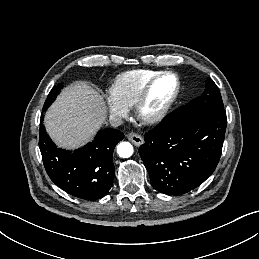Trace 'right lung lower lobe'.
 <instances>
[{
    "mask_svg": "<svg viewBox=\"0 0 259 259\" xmlns=\"http://www.w3.org/2000/svg\"><path fill=\"white\" fill-rule=\"evenodd\" d=\"M123 138L119 130L105 129L92 142L72 153L58 149L41 123L39 148L46 172L58 187L74 197L97 200L112 187L113 151Z\"/></svg>",
    "mask_w": 259,
    "mask_h": 259,
    "instance_id": "98d812e1",
    "label": "right lung lower lobe"
}]
</instances>
